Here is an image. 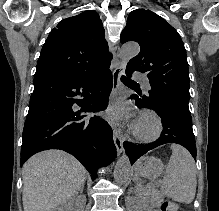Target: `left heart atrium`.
<instances>
[{
	"label": "left heart atrium",
	"instance_id": "obj_1",
	"mask_svg": "<svg viewBox=\"0 0 219 211\" xmlns=\"http://www.w3.org/2000/svg\"><path fill=\"white\" fill-rule=\"evenodd\" d=\"M125 115V108L122 103H116L106 113L109 119H121Z\"/></svg>",
	"mask_w": 219,
	"mask_h": 211
}]
</instances>
